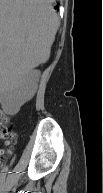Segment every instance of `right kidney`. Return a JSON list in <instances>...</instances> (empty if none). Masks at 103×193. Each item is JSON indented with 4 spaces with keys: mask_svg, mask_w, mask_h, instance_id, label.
<instances>
[{
    "mask_svg": "<svg viewBox=\"0 0 103 193\" xmlns=\"http://www.w3.org/2000/svg\"><path fill=\"white\" fill-rule=\"evenodd\" d=\"M40 71L30 70L5 81L1 86L0 104L7 115H15L36 93Z\"/></svg>",
    "mask_w": 103,
    "mask_h": 193,
    "instance_id": "ca27d5eb",
    "label": "right kidney"
}]
</instances>
